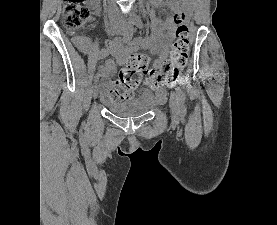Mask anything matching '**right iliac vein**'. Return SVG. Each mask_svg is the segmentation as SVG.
<instances>
[{"label": "right iliac vein", "instance_id": "obj_1", "mask_svg": "<svg viewBox=\"0 0 277 225\" xmlns=\"http://www.w3.org/2000/svg\"><path fill=\"white\" fill-rule=\"evenodd\" d=\"M112 32H113L114 34H116V35H119V34H122V33H123V29H121V28H114V29L112 30ZM97 96H98V89H97V88H94V90H93V98L96 99Z\"/></svg>", "mask_w": 277, "mask_h": 225}]
</instances>
